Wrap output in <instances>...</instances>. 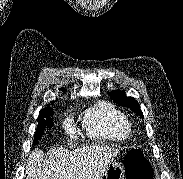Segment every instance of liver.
<instances>
[{"label":"liver","mask_w":183,"mask_h":179,"mask_svg":"<svg viewBox=\"0 0 183 179\" xmlns=\"http://www.w3.org/2000/svg\"><path fill=\"white\" fill-rule=\"evenodd\" d=\"M118 149L107 146H83L73 151L59 146L46 155L40 149L31 152L25 169L26 179H100Z\"/></svg>","instance_id":"liver-1"}]
</instances>
